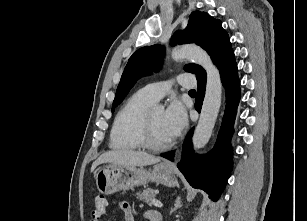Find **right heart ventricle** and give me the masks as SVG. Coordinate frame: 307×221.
<instances>
[{"instance_id": "1", "label": "right heart ventricle", "mask_w": 307, "mask_h": 221, "mask_svg": "<svg viewBox=\"0 0 307 221\" xmlns=\"http://www.w3.org/2000/svg\"><path fill=\"white\" fill-rule=\"evenodd\" d=\"M154 102L141 90L133 94L117 112L111 132L110 147L113 150H137L142 148L139 135L143 117Z\"/></svg>"}]
</instances>
